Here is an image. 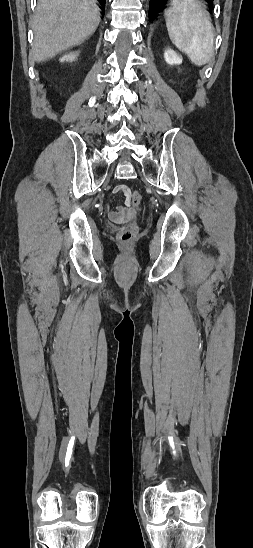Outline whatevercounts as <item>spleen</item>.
Here are the masks:
<instances>
[{"mask_svg":"<svg viewBox=\"0 0 253 548\" xmlns=\"http://www.w3.org/2000/svg\"><path fill=\"white\" fill-rule=\"evenodd\" d=\"M172 43L197 66L207 64L214 52L210 15L198 0H173L165 10Z\"/></svg>","mask_w":253,"mask_h":548,"instance_id":"3e777b00","label":"spleen"}]
</instances>
